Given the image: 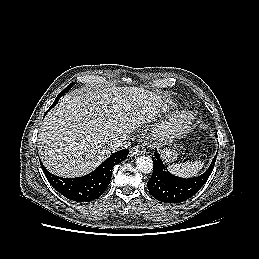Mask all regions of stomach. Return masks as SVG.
<instances>
[{"instance_id": "obj_1", "label": "stomach", "mask_w": 259, "mask_h": 259, "mask_svg": "<svg viewBox=\"0 0 259 259\" xmlns=\"http://www.w3.org/2000/svg\"><path fill=\"white\" fill-rule=\"evenodd\" d=\"M162 154H163V158L165 159L166 163L173 162L177 158V152L170 148L163 150Z\"/></svg>"}]
</instances>
